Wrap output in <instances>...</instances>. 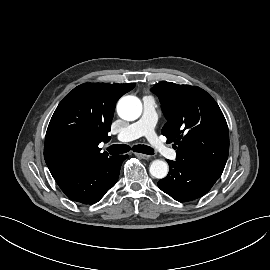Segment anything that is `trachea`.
<instances>
[{"label":"trachea","mask_w":270,"mask_h":270,"mask_svg":"<svg viewBox=\"0 0 270 270\" xmlns=\"http://www.w3.org/2000/svg\"><path fill=\"white\" fill-rule=\"evenodd\" d=\"M129 150H130V146L125 145V144H115V145H112L108 148V151L111 155L126 153ZM132 150L134 152H139V153H143V154H147V155L154 154V150L147 145H140V144L134 145Z\"/></svg>","instance_id":"obj_1"}]
</instances>
